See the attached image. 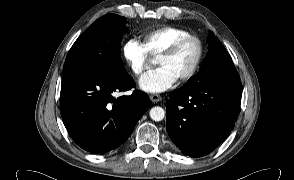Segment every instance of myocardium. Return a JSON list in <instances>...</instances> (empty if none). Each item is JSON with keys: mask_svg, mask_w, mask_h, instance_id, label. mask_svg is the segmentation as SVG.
I'll return each instance as SVG.
<instances>
[{"mask_svg": "<svg viewBox=\"0 0 294 180\" xmlns=\"http://www.w3.org/2000/svg\"><path fill=\"white\" fill-rule=\"evenodd\" d=\"M190 41L196 44L197 54H196L194 63L189 69V71L185 73L181 78L178 79L179 82L181 83L187 82L190 79H192L197 73V71L199 70V67L204 57V44L202 40L198 36L193 34H188V35L179 37L176 40H174L171 43V45L158 56V59L163 57L173 56L184 44Z\"/></svg>", "mask_w": 294, "mask_h": 180, "instance_id": "myocardium-1", "label": "myocardium"}]
</instances>
